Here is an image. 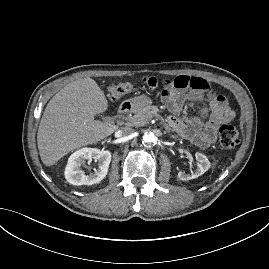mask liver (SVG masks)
Segmentation results:
<instances>
[{"label": "liver", "mask_w": 269, "mask_h": 269, "mask_svg": "<svg viewBox=\"0 0 269 269\" xmlns=\"http://www.w3.org/2000/svg\"><path fill=\"white\" fill-rule=\"evenodd\" d=\"M108 108L104 91L87 77L67 84L47 104L37 133L40 158L54 165L69 152L95 144L117 130L111 122L94 120Z\"/></svg>", "instance_id": "obj_1"}]
</instances>
